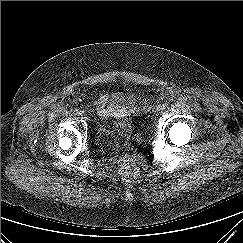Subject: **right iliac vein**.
<instances>
[{"mask_svg": "<svg viewBox=\"0 0 243 243\" xmlns=\"http://www.w3.org/2000/svg\"><path fill=\"white\" fill-rule=\"evenodd\" d=\"M79 116H80L81 118H84V117H85V113H84V112H81V113L79 114Z\"/></svg>", "mask_w": 243, "mask_h": 243, "instance_id": "obj_1", "label": "right iliac vein"}]
</instances>
